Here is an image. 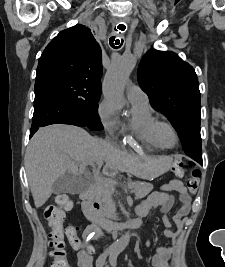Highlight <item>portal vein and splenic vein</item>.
Wrapping results in <instances>:
<instances>
[{"mask_svg": "<svg viewBox=\"0 0 225 267\" xmlns=\"http://www.w3.org/2000/svg\"><path fill=\"white\" fill-rule=\"evenodd\" d=\"M86 166H87V163L86 162H81L80 169L81 170H84ZM94 174L97 175V173H94Z\"/></svg>", "mask_w": 225, "mask_h": 267, "instance_id": "1", "label": "portal vein and splenic vein"}]
</instances>
